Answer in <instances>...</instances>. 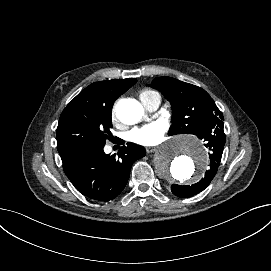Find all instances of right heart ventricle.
<instances>
[{"instance_id": "right-heart-ventricle-1", "label": "right heart ventricle", "mask_w": 271, "mask_h": 271, "mask_svg": "<svg viewBox=\"0 0 271 271\" xmlns=\"http://www.w3.org/2000/svg\"><path fill=\"white\" fill-rule=\"evenodd\" d=\"M153 95H157L160 97V95L158 94V92L152 90V89H149V88H144L142 90H140L139 92V96H140V99L143 100L147 97H150V96H153Z\"/></svg>"}]
</instances>
